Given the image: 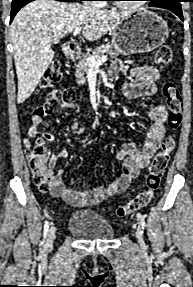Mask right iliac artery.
I'll list each match as a JSON object with an SVG mask.
<instances>
[{
  "label": "right iliac artery",
  "mask_w": 193,
  "mask_h": 287,
  "mask_svg": "<svg viewBox=\"0 0 193 287\" xmlns=\"http://www.w3.org/2000/svg\"><path fill=\"white\" fill-rule=\"evenodd\" d=\"M48 232H49V222L46 221L45 225H44V239H47L48 237Z\"/></svg>",
  "instance_id": "right-iliac-artery-1"
}]
</instances>
